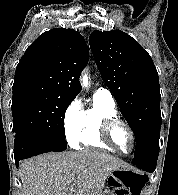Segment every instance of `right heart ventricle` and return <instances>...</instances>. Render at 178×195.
<instances>
[{"mask_svg": "<svg viewBox=\"0 0 178 195\" xmlns=\"http://www.w3.org/2000/svg\"><path fill=\"white\" fill-rule=\"evenodd\" d=\"M110 117H117L115 101L95 94L92 107L84 111L81 144L86 147L113 151L100 137L102 123Z\"/></svg>", "mask_w": 178, "mask_h": 195, "instance_id": "obj_1", "label": "right heart ventricle"}]
</instances>
